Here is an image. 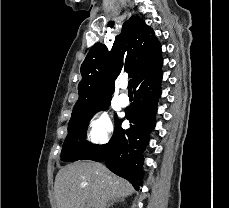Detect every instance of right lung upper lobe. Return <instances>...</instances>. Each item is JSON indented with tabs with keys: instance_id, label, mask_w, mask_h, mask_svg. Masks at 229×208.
Masks as SVG:
<instances>
[{
	"instance_id": "obj_1",
	"label": "right lung upper lobe",
	"mask_w": 229,
	"mask_h": 208,
	"mask_svg": "<svg viewBox=\"0 0 229 208\" xmlns=\"http://www.w3.org/2000/svg\"><path fill=\"white\" fill-rule=\"evenodd\" d=\"M161 45L150 26L139 17H131L123 24L111 51L96 43L81 65L82 79L78 84L79 99L71 119L89 114L99 104L110 101L114 80L127 72L133 88L158 70L163 60Z\"/></svg>"
}]
</instances>
